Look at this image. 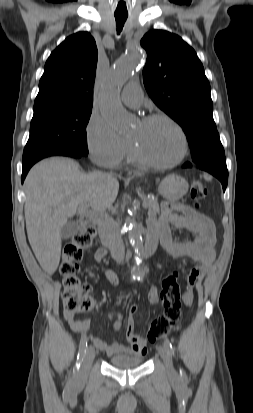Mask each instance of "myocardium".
I'll list each match as a JSON object with an SVG mask.
<instances>
[{"label": "myocardium", "mask_w": 253, "mask_h": 413, "mask_svg": "<svg viewBox=\"0 0 253 413\" xmlns=\"http://www.w3.org/2000/svg\"><path fill=\"white\" fill-rule=\"evenodd\" d=\"M157 120H163L166 121L167 123H169L178 133L180 140H181V150L179 155L172 161L169 162H165V163H160V162H155L153 160H150L149 158H147L141 151V149L139 148V146L134 142V141H130L131 144V148L132 151L136 157V159L138 160V162H140L141 164L151 167V168H156V169H169L172 167H175L177 165H179L187 156L188 153V149H189V144H188V139L186 136L185 131L183 130V128L181 127V125L174 120L172 117H170L169 115L163 114V113H156V114H151L148 115L146 117H144L141 120V123L143 124H148L151 123L153 121H157Z\"/></svg>", "instance_id": "f54148a6"}]
</instances>
